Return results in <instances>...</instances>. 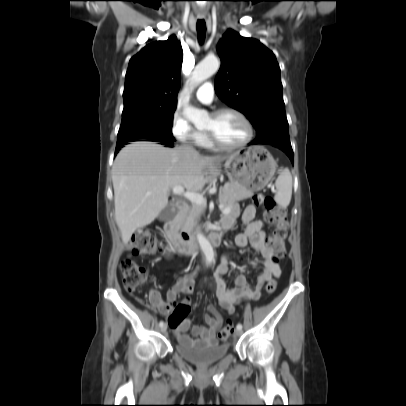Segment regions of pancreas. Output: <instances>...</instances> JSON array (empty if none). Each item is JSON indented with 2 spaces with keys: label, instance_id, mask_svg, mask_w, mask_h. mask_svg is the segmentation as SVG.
Listing matches in <instances>:
<instances>
[{
  "label": "pancreas",
  "instance_id": "1",
  "mask_svg": "<svg viewBox=\"0 0 406 406\" xmlns=\"http://www.w3.org/2000/svg\"><path fill=\"white\" fill-rule=\"evenodd\" d=\"M253 195L252 191L246 190L239 185L229 183L219 191V203L224 208L232 207L237 201L244 200ZM203 205L192 203L179 212V219L183 230L192 231L197 225L198 219L204 213Z\"/></svg>",
  "mask_w": 406,
  "mask_h": 406
}]
</instances>
